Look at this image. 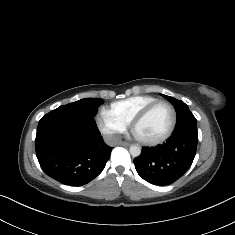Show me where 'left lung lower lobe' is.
Returning <instances> with one entry per match:
<instances>
[{
    "instance_id": "1",
    "label": "left lung lower lobe",
    "mask_w": 235,
    "mask_h": 235,
    "mask_svg": "<svg viewBox=\"0 0 235 235\" xmlns=\"http://www.w3.org/2000/svg\"><path fill=\"white\" fill-rule=\"evenodd\" d=\"M198 143V134L181 132L172 136L163 145L142 149L134 159L137 173L147 182L168 185L182 177L190 168Z\"/></svg>"
}]
</instances>
